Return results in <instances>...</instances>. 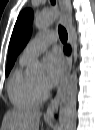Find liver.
Here are the masks:
<instances>
[{
  "mask_svg": "<svg viewBox=\"0 0 95 130\" xmlns=\"http://www.w3.org/2000/svg\"><path fill=\"white\" fill-rule=\"evenodd\" d=\"M42 113L13 109L6 112L1 130H39Z\"/></svg>",
  "mask_w": 95,
  "mask_h": 130,
  "instance_id": "6515ba94",
  "label": "liver"
}]
</instances>
